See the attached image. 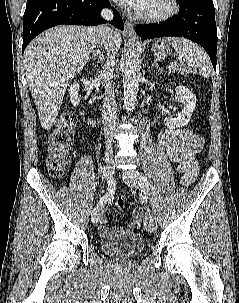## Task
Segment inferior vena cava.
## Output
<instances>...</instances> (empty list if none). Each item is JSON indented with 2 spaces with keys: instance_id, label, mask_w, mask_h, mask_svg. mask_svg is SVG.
I'll return each mask as SVG.
<instances>
[{
  "instance_id": "inferior-vena-cava-1",
  "label": "inferior vena cava",
  "mask_w": 239,
  "mask_h": 303,
  "mask_svg": "<svg viewBox=\"0 0 239 303\" xmlns=\"http://www.w3.org/2000/svg\"><path fill=\"white\" fill-rule=\"evenodd\" d=\"M101 17L105 20H112L113 14L109 9L101 12ZM98 44L102 45L107 51L106 63L100 73V79L105 88V98L103 100L102 123L105 134L106 146L109 148L112 141V133L116 127L117 105L112 90V77L115 67V52L110 49V38L113 30L107 25H100L96 28Z\"/></svg>"
}]
</instances>
